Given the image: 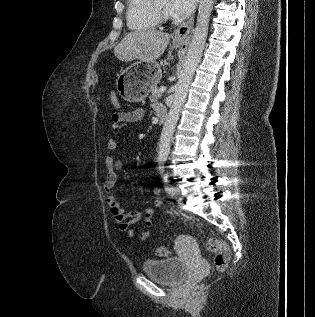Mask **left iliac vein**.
<instances>
[{
	"mask_svg": "<svg viewBox=\"0 0 315 317\" xmlns=\"http://www.w3.org/2000/svg\"><path fill=\"white\" fill-rule=\"evenodd\" d=\"M180 194V189L177 186L171 187V190L169 191V195L171 197H176Z\"/></svg>",
	"mask_w": 315,
	"mask_h": 317,
	"instance_id": "left-iliac-vein-1",
	"label": "left iliac vein"
}]
</instances>
